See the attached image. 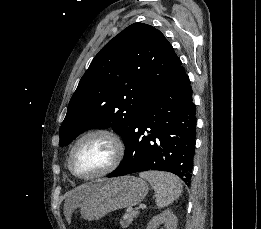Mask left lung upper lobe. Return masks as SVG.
Masks as SVG:
<instances>
[{
    "label": "left lung upper lobe",
    "mask_w": 261,
    "mask_h": 229,
    "mask_svg": "<svg viewBox=\"0 0 261 229\" xmlns=\"http://www.w3.org/2000/svg\"><path fill=\"white\" fill-rule=\"evenodd\" d=\"M181 64L156 28L143 23L125 28L82 76L59 129V146L91 128L112 127L126 142L148 95Z\"/></svg>",
    "instance_id": "obj_1"
}]
</instances>
